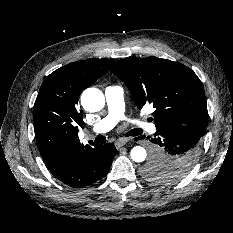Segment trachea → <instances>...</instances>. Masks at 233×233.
<instances>
[{
    "label": "trachea",
    "mask_w": 233,
    "mask_h": 233,
    "mask_svg": "<svg viewBox=\"0 0 233 233\" xmlns=\"http://www.w3.org/2000/svg\"><path fill=\"white\" fill-rule=\"evenodd\" d=\"M142 134V130L141 129H132L127 133V136H138ZM106 142V138L103 135H98L95 138V143H105Z\"/></svg>",
    "instance_id": "3493384b"
}]
</instances>
